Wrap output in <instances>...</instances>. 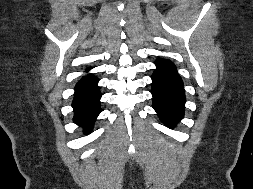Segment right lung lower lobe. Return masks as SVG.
<instances>
[{
	"instance_id": "98d812e1",
	"label": "right lung lower lobe",
	"mask_w": 253,
	"mask_h": 189,
	"mask_svg": "<svg viewBox=\"0 0 253 189\" xmlns=\"http://www.w3.org/2000/svg\"><path fill=\"white\" fill-rule=\"evenodd\" d=\"M98 79L93 76L82 78L75 86V97L72 103L74 108V123L90 132L95 119L100 113L101 93L97 86Z\"/></svg>"
}]
</instances>
